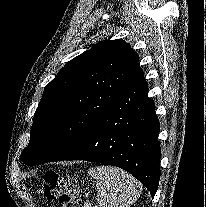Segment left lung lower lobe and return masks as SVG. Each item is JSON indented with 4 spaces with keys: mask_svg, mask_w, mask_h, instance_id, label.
I'll use <instances>...</instances> for the list:
<instances>
[{
    "mask_svg": "<svg viewBox=\"0 0 206 207\" xmlns=\"http://www.w3.org/2000/svg\"><path fill=\"white\" fill-rule=\"evenodd\" d=\"M159 121L141 75L111 104L86 141L63 160H86L120 167L154 197L160 178Z\"/></svg>",
    "mask_w": 206,
    "mask_h": 207,
    "instance_id": "left-lung-lower-lobe-1",
    "label": "left lung lower lobe"
}]
</instances>
